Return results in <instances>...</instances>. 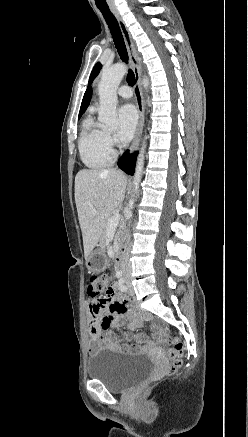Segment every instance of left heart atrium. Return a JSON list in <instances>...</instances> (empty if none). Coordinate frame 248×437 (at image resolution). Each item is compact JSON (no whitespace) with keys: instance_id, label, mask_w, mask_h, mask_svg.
Wrapping results in <instances>:
<instances>
[{"instance_id":"obj_1","label":"left heart atrium","mask_w":248,"mask_h":437,"mask_svg":"<svg viewBox=\"0 0 248 437\" xmlns=\"http://www.w3.org/2000/svg\"><path fill=\"white\" fill-rule=\"evenodd\" d=\"M118 122V138L122 141L130 140L138 124V114L135 107L131 104L120 107L118 110Z\"/></svg>"}]
</instances>
